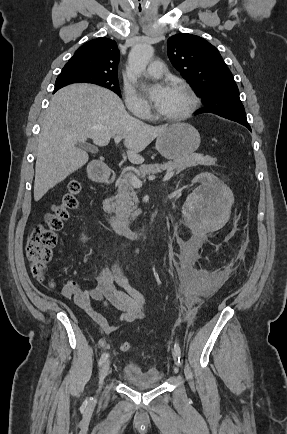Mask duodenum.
Wrapping results in <instances>:
<instances>
[{
    "label": "duodenum",
    "mask_w": 287,
    "mask_h": 434,
    "mask_svg": "<svg viewBox=\"0 0 287 434\" xmlns=\"http://www.w3.org/2000/svg\"><path fill=\"white\" fill-rule=\"evenodd\" d=\"M89 173L93 180L97 182H104L106 184H112L116 178L112 169L101 164L91 166ZM102 213L105 220L109 223L118 236L125 237L133 241H142L149 234L155 223V216H153L145 228L140 230L131 229L125 220L114 214L111 197H108L104 200Z\"/></svg>",
    "instance_id": "duodenum-1"
}]
</instances>
